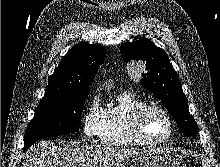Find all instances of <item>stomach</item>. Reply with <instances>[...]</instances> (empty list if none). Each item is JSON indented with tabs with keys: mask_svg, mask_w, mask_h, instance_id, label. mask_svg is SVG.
<instances>
[{
	"mask_svg": "<svg viewBox=\"0 0 220 167\" xmlns=\"http://www.w3.org/2000/svg\"><path fill=\"white\" fill-rule=\"evenodd\" d=\"M116 167H186L179 155L163 148H130Z\"/></svg>",
	"mask_w": 220,
	"mask_h": 167,
	"instance_id": "obj_1",
	"label": "stomach"
}]
</instances>
